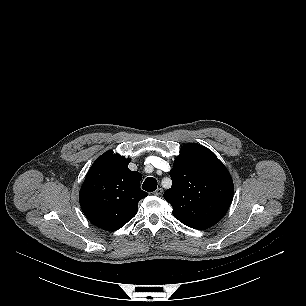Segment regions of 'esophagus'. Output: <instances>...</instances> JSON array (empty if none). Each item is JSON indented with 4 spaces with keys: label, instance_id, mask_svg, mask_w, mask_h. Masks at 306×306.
<instances>
[{
    "label": "esophagus",
    "instance_id": "34e87169",
    "mask_svg": "<svg viewBox=\"0 0 306 306\" xmlns=\"http://www.w3.org/2000/svg\"><path fill=\"white\" fill-rule=\"evenodd\" d=\"M163 193V189L162 188H157L155 191H154V195L156 196H160L161 194Z\"/></svg>",
    "mask_w": 306,
    "mask_h": 306
}]
</instances>
